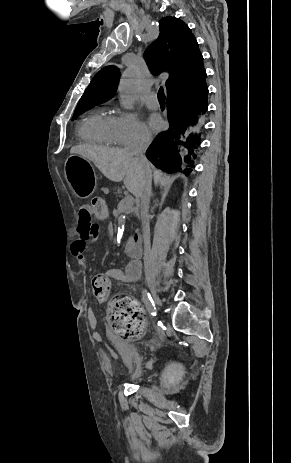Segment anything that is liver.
<instances>
[{"mask_svg": "<svg viewBox=\"0 0 291 463\" xmlns=\"http://www.w3.org/2000/svg\"><path fill=\"white\" fill-rule=\"evenodd\" d=\"M70 153L92 161L104 176L114 182L123 181L133 195L140 197L145 169L127 149L83 144L72 147Z\"/></svg>", "mask_w": 291, "mask_h": 463, "instance_id": "1", "label": "liver"}]
</instances>
